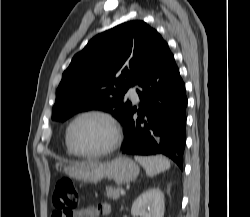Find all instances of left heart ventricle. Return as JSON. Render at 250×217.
Wrapping results in <instances>:
<instances>
[{"label": "left heart ventricle", "instance_id": "obj_1", "mask_svg": "<svg viewBox=\"0 0 250 217\" xmlns=\"http://www.w3.org/2000/svg\"><path fill=\"white\" fill-rule=\"evenodd\" d=\"M111 138L109 125L100 117L87 116L73 127L72 141L82 152H95L108 145Z\"/></svg>", "mask_w": 250, "mask_h": 217}]
</instances>
